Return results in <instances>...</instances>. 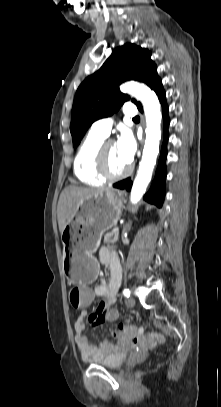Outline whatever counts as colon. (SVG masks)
Wrapping results in <instances>:
<instances>
[{"instance_id": "1", "label": "colon", "mask_w": 221, "mask_h": 407, "mask_svg": "<svg viewBox=\"0 0 221 407\" xmlns=\"http://www.w3.org/2000/svg\"><path fill=\"white\" fill-rule=\"evenodd\" d=\"M93 283H73L69 297L75 311H87L92 305L95 294L93 292ZM104 320L106 322H118L120 320V311L116 305H107L105 307ZM120 332L124 337H128L134 342L139 343L144 348H154L163 343L164 338L159 333L145 334L140 330L131 327L129 320L120 322Z\"/></svg>"}]
</instances>
